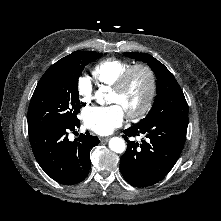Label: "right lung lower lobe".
Segmentation results:
<instances>
[{
  "label": "right lung lower lobe",
  "instance_id": "98d812e1",
  "mask_svg": "<svg viewBox=\"0 0 221 221\" xmlns=\"http://www.w3.org/2000/svg\"><path fill=\"white\" fill-rule=\"evenodd\" d=\"M79 126L78 120L28 128L38 164L53 180L64 185L77 184L86 178L91 168L90 150L100 142L87 131L69 141L68 131H75Z\"/></svg>",
  "mask_w": 221,
  "mask_h": 221
}]
</instances>
